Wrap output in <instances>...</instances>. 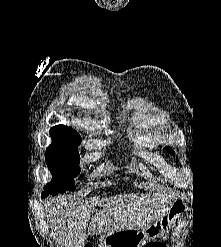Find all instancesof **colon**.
I'll return each mask as SVG.
<instances>
[{
  "label": "colon",
  "instance_id": "colon-1",
  "mask_svg": "<svg viewBox=\"0 0 221 247\" xmlns=\"http://www.w3.org/2000/svg\"><path fill=\"white\" fill-rule=\"evenodd\" d=\"M85 247H93L91 244H86ZM146 247H153L152 243H148Z\"/></svg>",
  "mask_w": 221,
  "mask_h": 247
}]
</instances>
